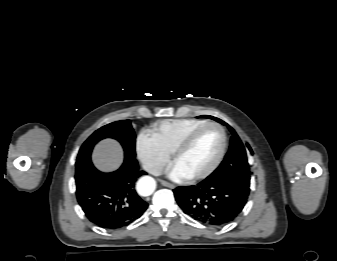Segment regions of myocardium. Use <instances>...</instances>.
<instances>
[{
	"label": "myocardium",
	"mask_w": 337,
	"mask_h": 261,
	"mask_svg": "<svg viewBox=\"0 0 337 261\" xmlns=\"http://www.w3.org/2000/svg\"><path fill=\"white\" fill-rule=\"evenodd\" d=\"M209 127H214L219 130L221 137H222V144L221 148L219 150V153L217 154L216 158L214 161L203 171L189 176L187 179L191 181H197L201 179H205L208 176H210L221 164L226 151L228 147V137L227 133L224 129V127L217 123V122H205L193 130H191L184 138L183 140L178 144V146L175 148L174 152L172 153V161L175 164L176 161L180 158L181 155H183L187 149L191 146L195 138L201 133L204 129L209 128Z\"/></svg>",
	"instance_id": "myocardium-1"
}]
</instances>
